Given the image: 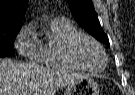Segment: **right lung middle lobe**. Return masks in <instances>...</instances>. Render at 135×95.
<instances>
[{
	"label": "right lung middle lobe",
	"instance_id": "1",
	"mask_svg": "<svg viewBox=\"0 0 135 95\" xmlns=\"http://www.w3.org/2000/svg\"><path fill=\"white\" fill-rule=\"evenodd\" d=\"M19 31L0 35V58L15 56L13 43Z\"/></svg>",
	"mask_w": 135,
	"mask_h": 95
}]
</instances>
